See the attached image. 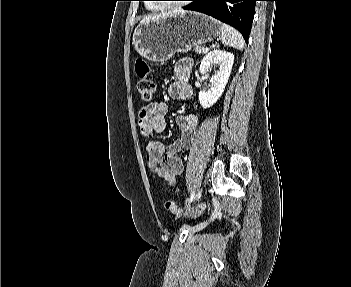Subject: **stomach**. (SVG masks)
<instances>
[{"label":"stomach","mask_w":351,"mask_h":287,"mask_svg":"<svg viewBox=\"0 0 351 287\" xmlns=\"http://www.w3.org/2000/svg\"><path fill=\"white\" fill-rule=\"evenodd\" d=\"M221 23L198 12L175 14L140 23L133 34L135 50L153 62H165L176 52L217 38Z\"/></svg>","instance_id":"0dacf381"}]
</instances>
